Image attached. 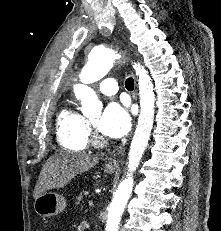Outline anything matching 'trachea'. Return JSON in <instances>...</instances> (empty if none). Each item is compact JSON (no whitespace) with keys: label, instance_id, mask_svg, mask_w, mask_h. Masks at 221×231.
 <instances>
[{"label":"trachea","instance_id":"trachea-1","mask_svg":"<svg viewBox=\"0 0 221 231\" xmlns=\"http://www.w3.org/2000/svg\"><path fill=\"white\" fill-rule=\"evenodd\" d=\"M125 87L128 90H133L134 89V80H133V78L130 77L125 81Z\"/></svg>","mask_w":221,"mask_h":231}]
</instances>
